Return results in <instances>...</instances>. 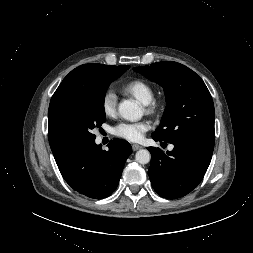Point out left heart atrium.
<instances>
[{
    "mask_svg": "<svg viewBox=\"0 0 253 253\" xmlns=\"http://www.w3.org/2000/svg\"><path fill=\"white\" fill-rule=\"evenodd\" d=\"M150 129V124L147 121L140 122H123L113 128V133L119 138L137 142L140 141L144 134Z\"/></svg>",
    "mask_w": 253,
    "mask_h": 253,
    "instance_id": "39dd6f15",
    "label": "left heart atrium"
}]
</instances>
